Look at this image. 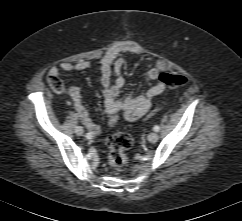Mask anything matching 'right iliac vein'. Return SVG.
<instances>
[{
    "label": "right iliac vein",
    "instance_id": "obj_1",
    "mask_svg": "<svg viewBox=\"0 0 242 221\" xmlns=\"http://www.w3.org/2000/svg\"><path fill=\"white\" fill-rule=\"evenodd\" d=\"M75 133H76L77 135H83L84 130H83L82 127L78 126V127H76V129H75Z\"/></svg>",
    "mask_w": 242,
    "mask_h": 221
}]
</instances>
